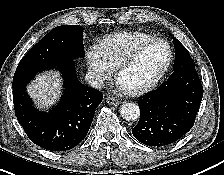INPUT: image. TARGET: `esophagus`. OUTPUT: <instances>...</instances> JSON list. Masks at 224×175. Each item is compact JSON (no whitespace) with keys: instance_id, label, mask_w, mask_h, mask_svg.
I'll list each match as a JSON object with an SVG mask.
<instances>
[{"instance_id":"1","label":"esophagus","mask_w":224,"mask_h":175,"mask_svg":"<svg viewBox=\"0 0 224 175\" xmlns=\"http://www.w3.org/2000/svg\"><path fill=\"white\" fill-rule=\"evenodd\" d=\"M106 102L110 105H114V106H117L120 104V101L119 99L115 98V97H107L106 98Z\"/></svg>"}]
</instances>
